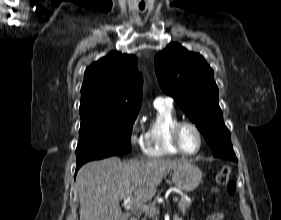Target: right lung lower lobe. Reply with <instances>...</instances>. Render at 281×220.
Returning <instances> with one entry per match:
<instances>
[{"label": "right lung lower lobe", "instance_id": "obj_1", "mask_svg": "<svg viewBox=\"0 0 281 220\" xmlns=\"http://www.w3.org/2000/svg\"><path fill=\"white\" fill-rule=\"evenodd\" d=\"M82 165H83V164H82ZM82 165H77V166H76V173H77L78 169H79Z\"/></svg>", "mask_w": 281, "mask_h": 220}]
</instances>
